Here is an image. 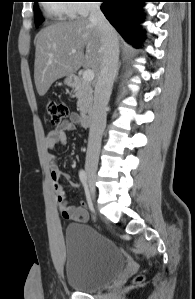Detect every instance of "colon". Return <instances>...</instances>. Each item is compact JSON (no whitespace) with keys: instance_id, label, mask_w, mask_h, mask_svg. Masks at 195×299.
<instances>
[{"instance_id":"1","label":"colon","mask_w":195,"mask_h":299,"mask_svg":"<svg viewBox=\"0 0 195 299\" xmlns=\"http://www.w3.org/2000/svg\"><path fill=\"white\" fill-rule=\"evenodd\" d=\"M47 112L52 124H60L69 115L68 105L64 102L49 101Z\"/></svg>"}]
</instances>
